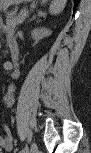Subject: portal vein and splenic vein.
Returning a JSON list of instances; mask_svg holds the SVG:
<instances>
[{
	"label": "portal vein and splenic vein",
	"mask_w": 91,
	"mask_h": 153,
	"mask_svg": "<svg viewBox=\"0 0 91 153\" xmlns=\"http://www.w3.org/2000/svg\"><path fill=\"white\" fill-rule=\"evenodd\" d=\"M27 14H28V12H24L23 16H25V17H26V16H27Z\"/></svg>",
	"instance_id": "1"
}]
</instances>
